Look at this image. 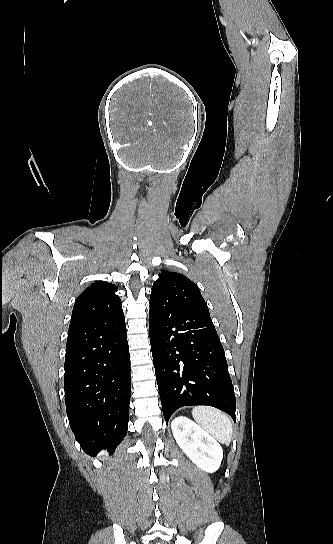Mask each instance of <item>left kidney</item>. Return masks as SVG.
I'll use <instances>...</instances> for the list:
<instances>
[{
	"label": "left kidney",
	"instance_id": "obj_1",
	"mask_svg": "<svg viewBox=\"0 0 333 544\" xmlns=\"http://www.w3.org/2000/svg\"><path fill=\"white\" fill-rule=\"evenodd\" d=\"M171 429L177 444L195 465L208 473L218 470L223 450L211 435L183 416L172 421Z\"/></svg>",
	"mask_w": 333,
	"mask_h": 544
}]
</instances>
